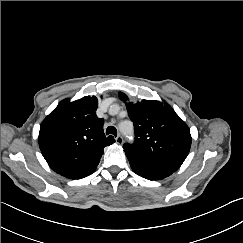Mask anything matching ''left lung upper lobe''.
Returning a JSON list of instances; mask_svg holds the SVG:
<instances>
[{
	"label": "left lung upper lobe",
	"mask_w": 243,
	"mask_h": 243,
	"mask_svg": "<svg viewBox=\"0 0 243 243\" xmlns=\"http://www.w3.org/2000/svg\"><path fill=\"white\" fill-rule=\"evenodd\" d=\"M126 103L128 97L120 92ZM128 116L134 123L135 139L124 144L125 153L141 158L172 163L181 166L191 147L190 129L166 103L142 100L126 103Z\"/></svg>",
	"instance_id": "obj_1"
}]
</instances>
